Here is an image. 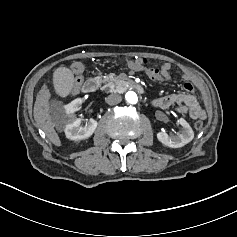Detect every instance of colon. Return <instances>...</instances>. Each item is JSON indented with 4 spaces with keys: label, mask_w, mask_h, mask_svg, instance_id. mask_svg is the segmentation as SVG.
Masks as SVG:
<instances>
[{
    "label": "colon",
    "mask_w": 237,
    "mask_h": 237,
    "mask_svg": "<svg viewBox=\"0 0 237 237\" xmlns=\"http://www.w3.org/2000/svg\"><path fill=\"white\" fill-rule=\"evenodd\" d=\"M135 64L142 68L143 72L146 74V76L153 81H158V80H162L161 79V75H160V70L158 67H148L147 66V61L145 59H140V60H136ZM71 70L72 72L77 75L80 76L83 74V72L85 71V65L82 62H74L71 65ZM204 127V122L201 120H198L195 123V128L197 130H201Z\"/></svg>",
    "instance_id": "1"
}]
</instances>
